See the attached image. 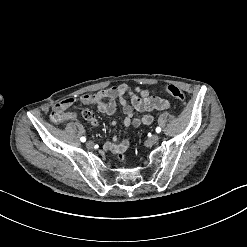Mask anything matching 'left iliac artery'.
I'll return each instance as SVG.
<instances>
[{
    "label": "left iliac artery",
    "instance_id": "44dca946",
    "mask_svg": "<svg viewBox=\"0 0 247 247\" xmlns=\"http://www.w3.org/2000/svg\"><path fill=\"white\" fill-rule=\"evenodd\" d=\"M156 132H157V133H160V132H161V128H160V127H157V128H156Z\"/></svg>",
    "mask_w": 247,
    "mask_h": 247
}]
</instances>
